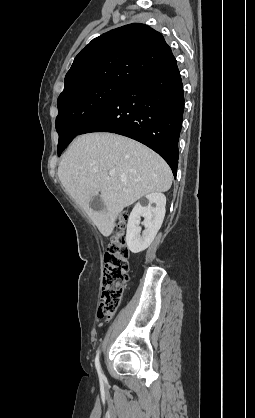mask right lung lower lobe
Returning <instances> with one entry per match:
<instances>
[{
	"mask_svg": "<svg viewBox=\"0 0 255 418\" xmlns=\"http://www.w3.org/2000/svg\"><path fill=\"white\" fill-rule=\"evenodd\" d=\"M184 92L177 63L128 84L79 133L112 132L157 152L174 176L183 120Z\"/></svg>",
	"mask_w": 255,
	"mask_h": 418,
	"instance_id": "obj_1",
	"label": "right lung lower lobe"
}]
</instances>
